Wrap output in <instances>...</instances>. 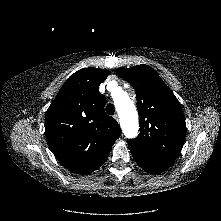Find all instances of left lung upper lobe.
<instances>
[{
  "instance_id": "1",
  "label": "left lung upper lobe",
  "mask_w": 221,
  "mask_h": 221,
  "mask_svg": "<svg viewBox=\"0 0 221 221\" xmlns=\"http://www.w3.org/2000/svg\"><path fill=\"white\" fill-rule=\"evenodd\" d=\"M117 74L131 83L137 95L140 133L128 144L153 156L175 161L186 133L185 118L178 99L148 65L120 68Z\"/></svg>"
}]
</instances>
